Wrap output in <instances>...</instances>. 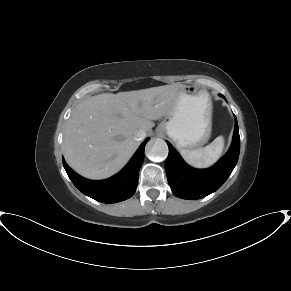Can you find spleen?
I'll list each match as a JSON object with an SVG mask.
<instances>
[{
  "label": "spleen",
  "instance_id": "3e777b00",
  "mask_svg": "<svg viewBox=\"0 0 291 291\" xmlns=\"http://www.w3.org/2000/svg\"><path fill=\"white\" fill-rule=\"evenodd\" d=\"M224 137L218 136L213 142L204 148L189 150L182 149L183 159L194 168H208L220 158L224 149Z\"/></svg>",
  "mask_w": 291,
  "mask_h": 291
}]
</instances>
